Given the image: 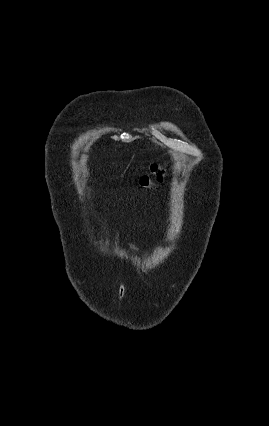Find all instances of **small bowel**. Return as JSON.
<instances>
[{
	"instance_id": "small-bowel-1",
	"label": "small bowel",
	"mask_w": 269,
	"mask_h": 426,
	"mask_svg": "<svg viewBox=\"0 0 269 426\" xmlns=\"http://www.w3.org/2000/svg\"><path fill=\"white\" fill-rule=\"evenodd\" d=\"M130 250L132 254L136 253V247L133 244H130Z\"/></svg>"
}]
</instances>
